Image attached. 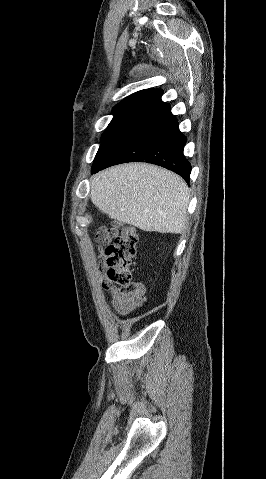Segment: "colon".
Wrapping results in <instances>:
<instances>
[{
	"mask_svg": "<svg viewBox=\"0 0 266 479\" xmlns=\"http://www.w3.org/2000/svg\"><path fill=\"white\" fill-rule=\"evenodd\" d=\"M97 238L104 244L100 248V255L108 267L109 283L118 291L129 289L133 283L132 264L137 253L135 229L131 226H124L120 231L100 228Z\"/></svg>",
	"mask_w": 266,
	"mask_h": 479,
	"instance_id": "1",
	"label": "colon"
}]
</instances>
